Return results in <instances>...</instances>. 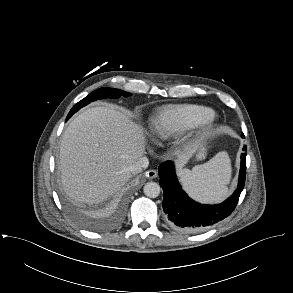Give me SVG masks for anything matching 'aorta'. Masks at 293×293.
<instances>
[{
  "mask_svg": "<svg viewBox=\"0 0 293 293\" xmlns=\"http://www.w3.org/2000/svg\"><path fill=\"white\" fill-rule=\"evenodd\" d=\"M144 194L149 198H156L159 196L161 187L156 182H147L143 188Z\"/></svg>",
  "mask_w": 293,
  "mask_h": 293,
  "instance_id": "1",
  "label": "aorta"
}]
</instances>
